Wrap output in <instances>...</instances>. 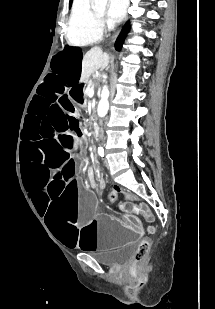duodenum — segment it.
Segmentation results:
<instances>
[{"label": "duodenum", "instance_id": "obj_1", "mask_svg": "<svg viewBox=\"0 0 215 309\" xmlns=\"http://www.w3.org/2000/svg\"><path fill=\"white\" fill-rule=\"evenodd\" d=\"M92 124L94 136L97 140H99L101 137L100 122L98 121V119H94Z\"/></svg>", "mask_w": 215, "mask_h": 309}]
</instances>
